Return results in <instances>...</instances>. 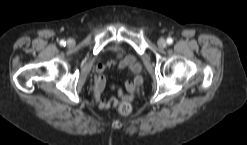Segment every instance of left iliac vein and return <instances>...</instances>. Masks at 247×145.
Wrapping results in <instances>:
<instances>
[{
	"instance_id": "left-iliac-vein-1",
	"label": "left iliac vein",
	"mask_w": 247,
	"mask_h": 145,
	"mask_svg": "<svg viewBox=\"0 0 247 145\" xmlns=\"http://www.w3.org/2000/svg\"><path fill=\"white\" fill-rule=\"evenodd\" d=\"M166 45H167V42H166V40H165L164 38H160V39L158 40V46H159L160 48H165Z\"/></svg>"
}]
</instances>
